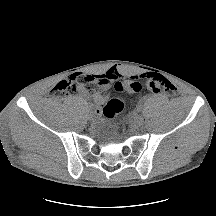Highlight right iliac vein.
<instances>
[{"mask_svg":"<svg viewBox=\"0 0 216 216\" xmlns=\"http://www.w3.org/2000/svg\"><path fill=\"white\" fill-rule=\"evenodd\" d=\"M89 120H94V117H93V115H89Z\"/></svg>","mask_w":216,"mask_h":216,"instance_id":"right-iliac-vein-1","label":"right iliac vein"}]
</instances>
